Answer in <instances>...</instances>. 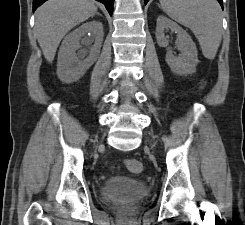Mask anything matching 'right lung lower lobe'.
<instances>
[{"instance_id": "1", "label": "right lung lower lobe", "mask_w": 245, "mask_h": 225, "mask_svg": "<svg viewBox=\"0 0 245 225\" xmlns=\"http://www.w3.org/2000/svg\"><path fill=\"white\" fill-rule=\"evenodd\" d=\"M45 1L47 0H33V11H35V9ZM97 1L105 4L107 10L109 11V14L112 15L114 0H97Z\"/></svg>"}]
</instances>
